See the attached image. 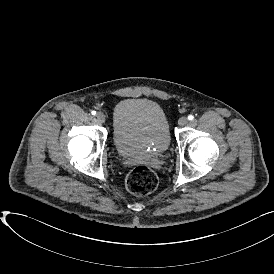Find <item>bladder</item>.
Here are the masks:
<instances>
[{
	"label": "bladder",
	"mask_w": 274,
	"mask_h": 274,
	"mask_svg": "<svg viewBox=\"0 0 274 274\" xmlns=\"http://www.w3.org/2000/svg\"><path fill=\"white\" fill-rule=\"evenodd\" d=\"M112 140L124 157L144 158L165 152L171 143L168 117L162 106L148 98H126L114 108Z\"/></svg>",
	"instance_id": "bladder-1"
}]
</instances>
